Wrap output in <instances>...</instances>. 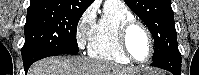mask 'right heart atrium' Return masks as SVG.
<instances>
[{
  "mask_svg": "<svg viewBox=\"0 0 199 75\" xmlns=\"http://www.w3.org/2000/svg\"><path fill=\"white\" fill-rule=\"evenodd\" d=\"M96 25V14L93 8L87 9L80 17L76 26V40L83 49L89 43Z\"/></svg>",
  "mask_w": 199,
  "mask_h": 75,
  "instance_id": "1",
  "label": "right heart atrium"
}]
</instances>
